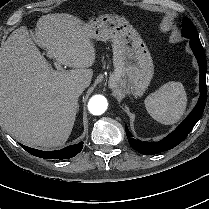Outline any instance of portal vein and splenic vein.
I'll return each instance as SVG.
<instances>
[{
	"mask_svg": "<svg viewBox=\"0 0 209 209\" xmlns=\"http://www.w3.org/2000/svg\"><path fill=\"white\" fill-rule=\"evenodd\" d=\"M55 67L59 72L62 71V67L59 63H55Z\"/></svg>",
	"mask_w": 209,
	"mask_h": 209,
	"instance_id": "obj_1",
	"label": "portal vein and splenic vein"
}]
</instances>
